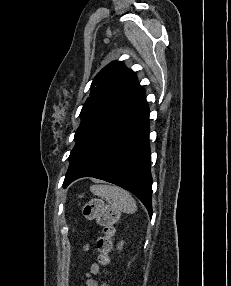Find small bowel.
<instances>
[{
	"label": "small bowel",
	"instance_id": "obj_1",
	"mask_svg": "<svg viewBox=\"0 0 231 286\" xmlns=\"http://www.w3.org/2000/svg\"><path fill=\"white\" fill-rule=\"evenodd\" d=\"M89 249V246H85L84 247V251H87ZM99 270V266L97 263H93L90 267L88 276L93 275V274H97ZM87 286H96V283L93 280H88L87 281Z\"/></svg>",
	"mask_w": 231,
	"mask_h": 286
}]
</instances>
